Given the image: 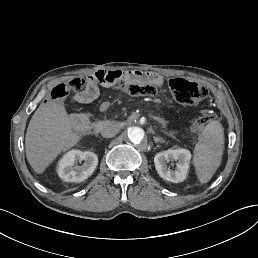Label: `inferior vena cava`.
Here are the masks:
<instances>
[{
	"label": "inferior vena cava",
	"instance_id": "1",
	"mask_svg": "<svg viewBox=\"0 0 258 258\" xmlns=\"http://www.w3.org/2000/svg\"><path fill=\"white\" fill-rule=\"evenodd\" d=\"M118 129L114 124H107L101 130V135L105 138L114 137L118 133Z\"/></svg>",
	"mask_w": 258,
	"mask_h": 258
}]
</instances>
